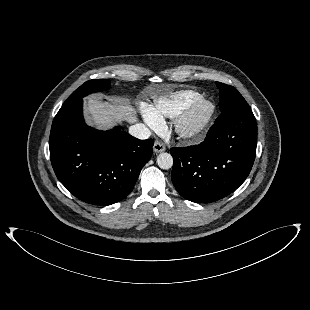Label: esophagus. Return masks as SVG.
<instances>
[{"label":"esophagus","mask_w":310,"mask_h":310,"mask_svg":"<svg viewBox=\"0 0 310 310\" xmlns=\"http://www.w3.org/2000/svg\"><path fill=\"white\" fill-rule=\"evenodd\" d=\"M153 150L156 154L161 153L166 150L164 144L160 141H155Z\"/></svg>","instance_id":"34e87169"}]
</instances>
